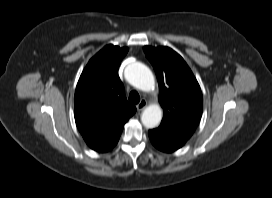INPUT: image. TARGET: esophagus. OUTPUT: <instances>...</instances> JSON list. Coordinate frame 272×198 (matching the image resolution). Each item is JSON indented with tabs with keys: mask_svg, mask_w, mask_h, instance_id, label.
<instances>
[{
	"mask_svg": "<svg viewBox=\"0 0 272 198\" xmlns=\"http://www.w3.org/2000/svg\"><path fill=\"white\" fill-rule=\"evenodd\" d=\"M146 106H147V101L143 99L137 104L136 108L138 111H142Z\"/></svg>",
	"mask_w": 272,
	"mask_h": 198,
	"instance_id": "obj_1",
	"label": "esophagus"
}]
</instances>
